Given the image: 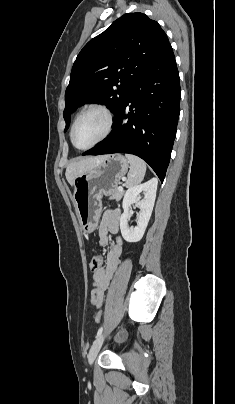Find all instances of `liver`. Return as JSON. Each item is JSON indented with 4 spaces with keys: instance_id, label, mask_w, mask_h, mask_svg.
<instances>
[{
    "instance_id": "obj_1",
    "label": "liver",
    "mask_w": 235,
    "mask_h": 404,
    "mask_svg": "<svg viewBox=\"0 0 235 404\" xmlns=\"http://www.w3.org/2000/svg\"><path fill=\"white\" fill-rule=\"evenodd\" d=\"M105 157L106 156L87 157L70 163L67 166L65 173L68 183L70 185H73L74 179L76 177L94 168Z\"/></svg>"
}]
</instances>
